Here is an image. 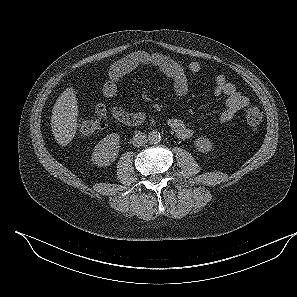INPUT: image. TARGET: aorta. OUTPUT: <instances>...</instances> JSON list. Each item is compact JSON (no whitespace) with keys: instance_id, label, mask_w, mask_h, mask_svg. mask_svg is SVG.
I'll return each mask as SVG.
<instances>
[{"instance_id":"obj_1","label":"aorta","mask_w":297,"mask_h":297,"mask_svg":"<svg viewBox=\"0 0 297 297\" xmlns=\"http://www.w3.org/2000/svg\"><path fill=\"white\" fill-rule=\"evenodd\" d=\"M148 140L150 143L152 144H157L161 141V134L159 131L157 130H152L151 132H149L148 134Z\"/></svg>"}]
</instances>
